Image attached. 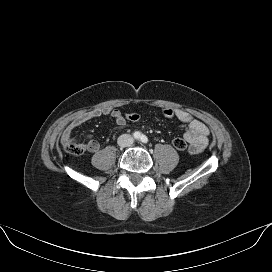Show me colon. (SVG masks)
Returning a JSON list of instances; mask_svg holds the SVG:
<instances>
[{
    "label": "colon",
    "mask_w": 272,
    "mask_h": 272,
    "mask_svg": "<svg viewBox=\"0 0 272 272\" xmlns=\"http://www.w3.org/2000/svg\"><path fill=\"white\" fill-rule=\"evenodd\" d=\"M161 112L165 118H173L175 116L174 109L171 108H164ZM140 118L141 116L137 112H131L126 114V120H128L129 122H138ZM173 146L177 150H185L187 148V143L181 138H175L173 140ZM65 149L67 152L75 155H78L83 151V149L76 144H68L65 146Z\"/></svg>",
    "instance_id": "obj_1"
}]
</instances>
